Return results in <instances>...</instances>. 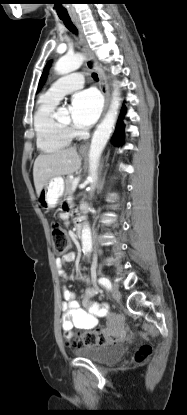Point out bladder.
Here are the masks:
<instances>
[{
    "mask_svg": "<svg viewBox=\"0 0 187 415\" xmlns=\"http://www.w3.org/2000/svg\"><path fill=\"white\" fill-rule=\"evenodd\" d=\"M126 343L117 342L104 347H83L73 350V354L89 359L97 364L107 365L113 363L125 354Z\"/></svg>",
    "mask_w": 187,
    "mask_h": 415,
    "instance_id": "1",
    "label": "bladder"
}]
</instances>
